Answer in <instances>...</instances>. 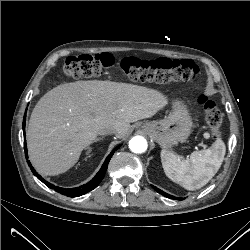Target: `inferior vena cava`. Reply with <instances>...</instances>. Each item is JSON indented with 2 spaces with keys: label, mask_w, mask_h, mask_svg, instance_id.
<instances>
[{
  "label": "inferior vena cava",
  "mask_w": 250,
  "mask_h": 250,
  "mask_svg": "<svg viewBox=\"0 0 250 250\" xmlns=\"http://www.w3.org/2000/svg\"><path fill=\"white\" fill-rule=\"evenodd\" d=\"M116 133V128L111 126L103 131L99 132V135H107V134H115Z\"/></svg>",
  "instance_id": "1"
}]
</instances>
